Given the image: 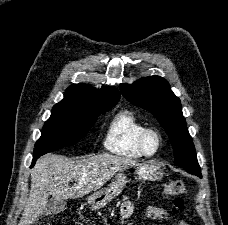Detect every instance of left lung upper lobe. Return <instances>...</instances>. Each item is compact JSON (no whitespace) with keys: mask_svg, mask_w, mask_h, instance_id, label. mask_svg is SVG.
Returning a JSON list of instances; mask_svg holds the SVG:
<instances>
[{"mask_svg":"<svg viewBox=\"0 0 228 225\" xmlns=\"http://www.w3.org/2000/svg\"><path fill=\"white\" fill-rule=\"evenodd\" d=\"M124 97L136 106L150 111L170 138L175 164L201 177L193 140L187 130L178 97L160 76L142 78L133 84H121Z\"/></svg>","mask_w":228,"mask_h":225,"instance_id":"left-lung-upper-lobe-1","label":"left lung upper lobe"}]
</instances>
